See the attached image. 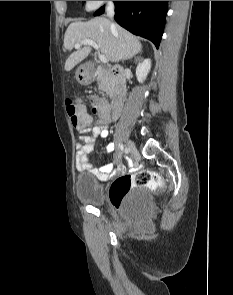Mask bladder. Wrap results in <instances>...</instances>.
<instances>
[{"label":"bladder","mask_w":233,"mask_h":295,"mask_svg":"<svg viewBox=\"0 0 233 295\" xmlns=\"http://www.w3.org/2000/svg\"><path fill=\"white\" fill-rule=\"evenodd\" d=\"M75 191L78 199L87 204L101 206L105 202V188L91 175H79L75 181ZM128 210L134 218L144 220L152 213L153 198L145 187L138 188L131 197Z\"/></svg>","instance_id":"1"}]
</instances>
